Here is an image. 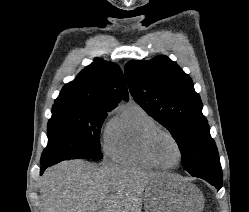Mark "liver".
Segmentation results:
<instances>
[{"instance_id":"1","label":"liver","mask_w":249,"mask_h":212,"mask_svg":"<svg viewBox=\"0 0 249 212\" xmlns=\"http://www.w3.org/2000/svg\"><path fill=\"white\" fill-rule=\"evenodd\" d=\"M171 174L143 172L124 166H96L69 160L47 168L38 188L42 212H141L150 182Z\"/></svg>"}]
</instances>
